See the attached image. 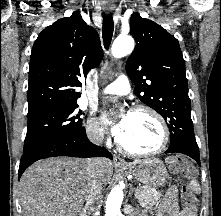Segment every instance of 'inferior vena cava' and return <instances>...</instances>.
I'll return each mask as SVG.
<instances>
[{"label": "inferior vena cava", "mask_w": 221, "mask_h": 216, "mask_svg": "<svg viewBox=\"0 0 221 216\" xmlns=\"http://www.w3.org/2000/svg\"><path fill=\"white\" fill-rule=\"evenodd\" d=\"M103 138V133L100 130L94 131L90 135V140L95 144H101ZM87 174L90 183L89 193L86 197V210L85 216H95L97 210L96 201L102 192V181L100 178V172L94 161H88L87 164Z\"/></svg>", "instance_id": "602c4592"}]
</instances>
